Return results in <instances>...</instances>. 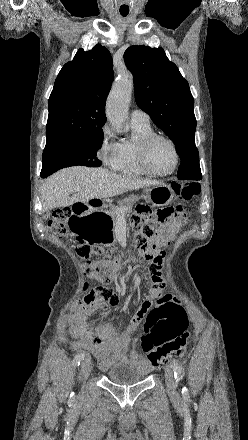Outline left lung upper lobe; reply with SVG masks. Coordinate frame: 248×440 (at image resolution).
<instances>
[{
  "label": "left lung upper lobe",
  "instance_id": "5c2ea615",
  "mask_svg": "<svg viewBox=\"0 0 248 440\" xmlns=\"http://www.w3.org/2000/svg\"><path fill=\"white\" fill-rule=\"evenodd\" d=\"M124 59L134 76L137 105L173 140L181 157L178 178L200 180L194 99L187 81L162 48L131 46Z\"/></svg>",
  "mask_w": 248,
  "mask_h": 440
}]
</instances>
